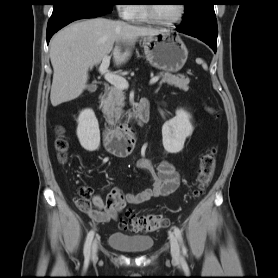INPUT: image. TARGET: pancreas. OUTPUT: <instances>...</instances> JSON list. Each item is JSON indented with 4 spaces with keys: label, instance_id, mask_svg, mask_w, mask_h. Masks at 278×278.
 I'll use <instances>...</instances> for the list:
<instances>
[{
    "label": "pancreas",
    "instance_id": "pancreas-1",
    "mask_svg": "<svg viewBox=\"0 0 278 278\" xmlns=\"http://www.w3.org/2000/svg\"><path fill=\"white\" fill-rule=\"evenodd\" d=\"M162 83H168L169 85H174L179 89L184 91L188 90V84L190 79L184 75H171L169 73L161 74ZM125 95L122 89L117 87H110L107 89L105 96L102 100V110L107 116L110 122H113V119L118 121L123 113L122 108L124 107Z\"/></svg>",
    "mask_w": 278,
    "mask_h": 278
}]
</instances>
